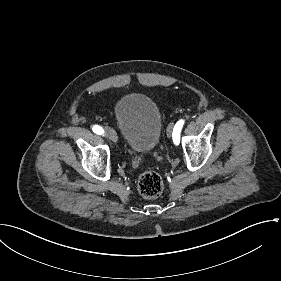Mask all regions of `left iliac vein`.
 <instances>
[{
    "label": "left iliac vein",
    "instance_id": "obj_1",
    "mask_svg": "<svg viewBox=\"0 0 281 281\" xmlns=\"http://www.w3.org/2000/svg\"><path fill=\"white\" fill-rule=\"evenodd\" d=\"M173 129H174V125L173 124H170L168 126V129H167V136L168 137H171L173 135Z\"/></svg>",
    "mask_w": 281,
    "mask_h": 281
}]
</instances>
